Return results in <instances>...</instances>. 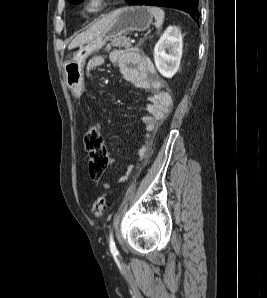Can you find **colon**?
<instances>
[{"label": "colon", "mask_w": 267, "mask_h": 298, "mask_svg": "<svg viewBox=\"0 0 267 298\" xmlns=\"http://www.w3.org/2000/svg\"><path fill=\"white\" fill-rule=\"evenodd\" d=\"M84 142L88 154L90 177L92 180L98 181L106 170L109 158L97 124L93 123L88 127ZM106 208V200L104 197L100 196L95 200L92 212L96 217H102Z\"/></svg>", "instance_id": "colon-1"}]
</instances>
